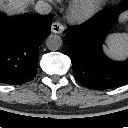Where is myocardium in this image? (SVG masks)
<instances>
[{"instance_id": "obj_1", "label": "myocardium", "mask_w": 128, "mask_h": 128, "mask_svg": "<svg viewBox=\"0 0 128 128\" xmlns=\"http://www.w3.org/2000/svg\"><path fill=\"white\" fill-rule=\"evenodd\" d=\"M104 0H73L69 7V15L76 21H87L101 9Z\"/></svg>"}]
</instances>
